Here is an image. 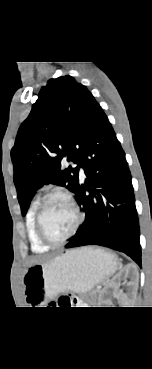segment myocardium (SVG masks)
<instances>
[{"label": "myocardium", "mask_w": 152, "mask_h": 369, "mask_svg": "<svg viewBox=\"0 0 152 369\" xmlns=\"http://www.w3.org/2000/svg\"><path fill=\"white\" fill-rule=\"evenodd\" d=\"M54 198H62L64 200H66L70 206L72 207L74 214H75V224L73 229L71 230V232L66 235L65 237L58 239V240H54L51 239L45 232L44 228H43V223H42V219H43V214L45 211V208L47 206V204ZM83 221V215L82 212L77 204V202L75 201V199L73 198V196L66 192V191H53L48 193L46 196H44V198L39 202V206L36 212V216H35V228H36V233L39 237V239L41 240L42 243H44L47 246H58L61 245L63 243H65L66 241H68L70 238H72L77 231L79 230L81 224Z\"/></svg>", "instance_id": "myocardium-1"}]
</instances>
